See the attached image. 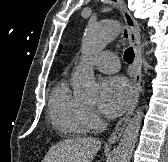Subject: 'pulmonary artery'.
Listing matches in <instances>:
<instances>
[{
  "mask_svg": "<svg viewBox=\"0 0 168 162\" xmlns=\"http://www.w3.org/2000/svg\"><path fill=\"white\" fill-rule=\"evenodd\" d=\"M92 65L104 73H114L119 69V59L117 55L111 51H104L92 59Z\"/></svg>",
  "mask_w": 168,
  "mask_h": 162,
  "instance_id": "pulmonary-artery-1",
  "label": "pulmonary artery"
}]
</instances>
